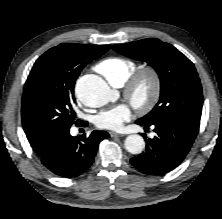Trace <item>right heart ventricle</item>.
Returning a JSON list of instances; mask_svg holds the SVG:
<instances>
[{
	"instance_id": "1",
	"label": "right heart ventricle",
	"mask_w": 222,
	"mask_h": 219,
	"mask_svg": "<svg viewBox=\"0 0 222 219\" xmlns=\"http://www.w3.org/2000/svg\"><path fill=\"white\" fill-rule=\"evenodd\" d=\"M135 69V62L122 57H109L96 65V70L113 86H122Z\"/></svg>"
}]
</instances>
